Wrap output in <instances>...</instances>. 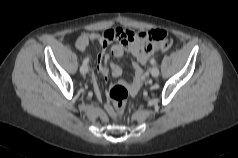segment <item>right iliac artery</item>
Here are the masks:
<instances>
[{
    "label": "right iliac artery",
    "mask_w": 238,
    "mask_h": 158,
    "mask_svg": "<svg viewBox=\"0 0 238 158\" xmlns=\"http://www.w3.org/2000/svg\"><path fill=\"white\" fill-rule=\"evenodd\" d=\"M89 62V58H85L84 61H83V64H87Z\"/></svg>",
    "instance_id": "obj_1"
}]
</instances>
